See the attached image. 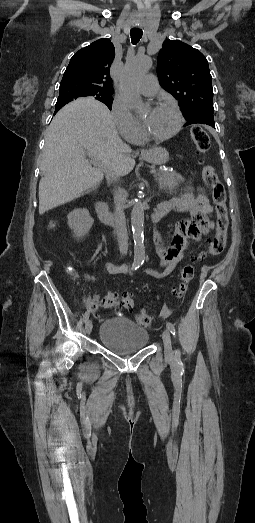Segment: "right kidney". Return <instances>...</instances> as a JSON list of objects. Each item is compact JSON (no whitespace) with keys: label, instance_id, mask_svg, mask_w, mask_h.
<instances>
[{"label":"right kidney","instance_id":"ca27d5eb","mask_svg":"<svg viewBox=\"0 0 255 523\" xmlns=\"http://www.w3.org/2000/svg\"><path fill=\"white\" fill-rule=\"evenodd\" d=\"M68 226L73 230L75 238L81 240L83 236L88 234L91 226H93V218H91L88 210L85 208H78V210H73L67 216Z\"/></svg>","mask_w":255,"mask_h":523}]
</instances>
